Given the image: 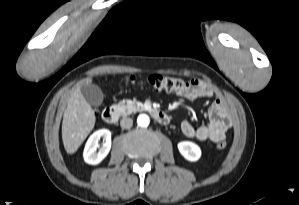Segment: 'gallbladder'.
Here are the masks:
<instances>
[{
	"instance_id": "1",
	"label": "gallbladder",
	"mask_w": 299,
	"mask_h": 205,
	"mask_svg": "<svg viewBox=\"0 0 299 205\" xmlns=\"http://www.w3.org/2000/svg\"><path fill=\"white\" fill-rule=\"evenodd\" d=\"M80 90L85 100L91 106H100L103 102V92L97 85L94 84H83L80 86Z\"/></svg>"
}]
</instances>
